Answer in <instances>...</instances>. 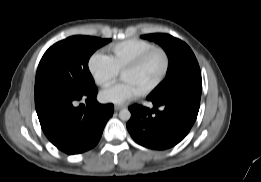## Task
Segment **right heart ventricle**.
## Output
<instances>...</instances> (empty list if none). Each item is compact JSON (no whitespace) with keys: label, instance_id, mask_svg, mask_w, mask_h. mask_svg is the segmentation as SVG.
I'll return each instance as SVG.
<instances>
[{"label":"right heart ventricle","instance_id":"right-heart-ventricle-1","mask_svg":"<svg viewBox=\"0 0 261 182\" xmlns=\"http://www.w3.org/2000/svg\"><path fill=\"white\" fill-rule=\"evenodd\" d=\"M153 47L155 45L149 41L132 38L108 46L107 55L117 70L122 71L127 64Z\"/></svg>","mask_w":261,"mask_h":182}]
</instances>
